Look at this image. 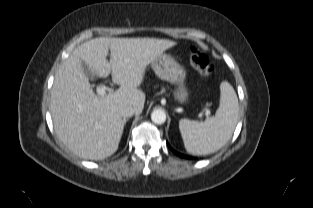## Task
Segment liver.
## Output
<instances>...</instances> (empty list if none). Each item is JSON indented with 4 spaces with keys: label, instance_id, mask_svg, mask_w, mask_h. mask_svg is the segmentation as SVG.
<instances>
[{
    "label": "liver",
    "instance_id": "6515ba94",
    "mask_svg": "<svg viewBox=\"0 0 313 208\" xmlns=\"http://www.w3.org/2000/svg\"><path fill=\"white\" fill-rule=\"evenodd\" d=\"M176 44L168 39L99 37L75 48L57 71L51 91L50 111L60 141L84 159L102 160L114 154L124 129L117 107L131 104L135 114L142 113L146 96L138 87L146 68ZM82 62L97 77L111 73L119 89L95 95Z\"/></svg>",
    "mask_w": 313,
    "mask_h": 208
}]
</instances>
